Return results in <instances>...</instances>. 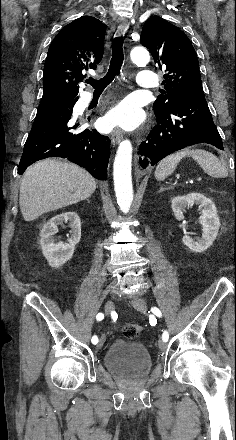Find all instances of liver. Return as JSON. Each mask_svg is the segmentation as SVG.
<instances>
[{
	"label": "liver",
	"mask_w": 236,
	"mask_h": 440,
	"mask_svg": "<svg viewBox=\"0 0 236 440\" xmlns=\"http://www.w3.org/2000/svg\"><path fill=\"white\" fill-rule=\"evenodd\" d=\"M96 190L94 178L80 167L54 159L30 167L20 184L19 204L25 221L76 204Z\"/></svg>",
	"instance_id": "1"
}]
</instances>
